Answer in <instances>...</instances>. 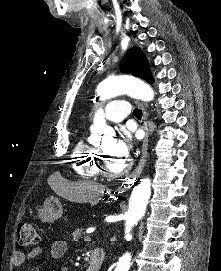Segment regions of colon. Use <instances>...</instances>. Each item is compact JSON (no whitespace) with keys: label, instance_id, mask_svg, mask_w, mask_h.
I'll use <instances>...</instances> for the list:
<instances>
[{"label":"colon","instance_id":"1","mask_svg":"<svg viewBox=\"0 0 221 271\" xmlns=\"http://www.w3.org/2000/svg\"><path fill=\"white\" fill-rule=\"evenodd\" d=\"M38 241V236L35 232L33 226L26 222H21L18 225L17 235H16V248L26 249Z\"/></svg>","mask_w":221,"mask_h":271}]
</instances>
